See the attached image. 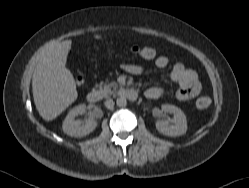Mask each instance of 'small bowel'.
I'll use <instances>...</instances> for the list:
<instances>
[{
    "mask_svg": "<svg viewBox=\"0 0 249 188\" xmlns=\"http://www.w3.org/2000/svg\"><path fill=\"white\" fill-rule=\"evenodd\" d=\"M169 64V59L166 56H159L155 60V65L158 68H165ZM124 71L131 75H142L145 72L144 67L135 64L123 65ZM170 79L178 85L176 91V98L179 101H187L197 97L201 92V83L198 79L197 73L186 68L184 65L177 63L173 66L170 72ZM164 89L161 87H151L147 89L145 95L148 99L155 100L161 97Z\"/></svg>",
    "mask_w": 249,
    "mask_h": 188,
    "instance_id": "small-bowel-1",
    "label": "small bowel"
}]
</instances>
